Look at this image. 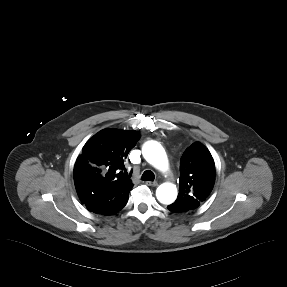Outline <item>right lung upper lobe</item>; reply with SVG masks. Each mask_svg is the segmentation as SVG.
<instances>
[{
  "instance_id": "1",
  "label": "right lung upper lobe",
  "mask_w": 287,
  "mask_h": 287,
  "mask_svg": "<svg viewBox=\"0 0 287 287\" xmlns=\"http://www.w3.org/2000/svg\"><path fill=\"white\" fill-rule=\"evenodd\" d=\"M139 139L136 131L107 128L85 144L74 166V183L81 202L95 188L133 187L124 161Z\"/></svg>"
}]
</instances>
